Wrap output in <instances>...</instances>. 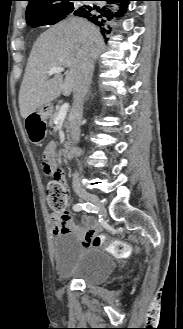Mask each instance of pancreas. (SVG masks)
<instances>
[{
  "label": "pancreas",
  "mask_w": 183,
  "mask_h": 329,
  "mask_svg": "<svg viewBox=\"0 0 183 329\" xmlns=\"http://www.w3.org/2000/svg\"><path fill=\"white\" fill-rule=\"evenodd\" d=\"M58 115L57 112L53 113L51 116H50V119H49V126H53L54 124V119L56 118V116ZM65 127L67 128V131L69 130L70 128V125L68 123V121L65 122Z\"/></svg>",
  "instance_id": "obj_1"
}]
</instances>
